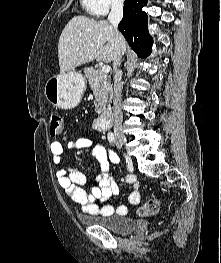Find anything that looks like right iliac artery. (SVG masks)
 Segmentation results:
<instances>
[{"instance_id":"obj_1","label":"right iliac artery","mask_w":221,"mask_h":263,"mask_svg":"<svg viewBox=\"0 0 221 263\" xmlns=\"http://www.w3.org/2000/svg\"><path fill=\"white\" fill-rule=\"evenodd\" d=\"M108 140L110 143L114 144L115 143V136L113 133L108 134Z\"/></svg>"}]
</instances>
